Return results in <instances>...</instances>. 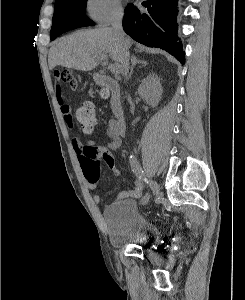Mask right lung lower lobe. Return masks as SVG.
Instances as JSON below:
<instances>
[{
    "label": "right lung lower lobe",
    "instance_id": "98d812e1",
    "mask_svg": "<svg viewBox=\"0 0 245 300\" xmlns=\"http://www.w3.org/2000/svg\"><path fill=\"white\" fill-rule=\"evenodd\" d=\"M177 2L178 0H147L142 2L141 9L129 5L123 18V29L137 42L164 49L184 64L185 53L177 38ZM79 27L84 26L76 21H60L57 24L58 36Z\"/></svg>",
    "mask_w": 245,
    "mask_h": 300
}]
</instances>
